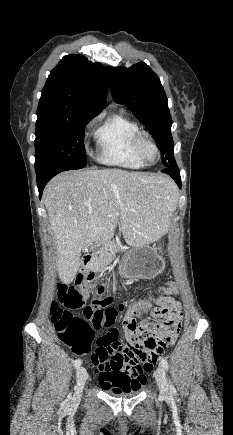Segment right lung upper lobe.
Segmentation results:
<instances>
[{
    "instance_id": "1",
    "label": "right lung upper lobe",
    "mask_w": 233,
    "mask_h": 435,
    "mask_svg": "<svg viewBox=\"0 0 233 435\" xmlns=\"http://www.w3.org/2000/svg\"><path fill=\"white\" fill-rule=\"evenodd\" d=\"M107 82L104 67L79 54H70L48 76L37 116H96L105 107Z\"/></svg>"
}]
</instances>
